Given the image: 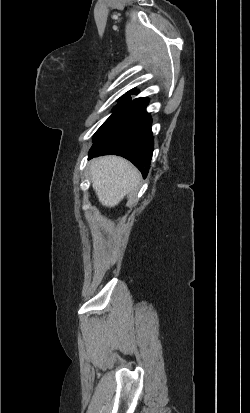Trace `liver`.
I'll return each instance as SVG.
<instances>
[{"label": "liver", "instance_id": "1", "mask_svg": "<svg viewBox=\"0 0 250 413\" xmlns=\"http://www.w3.org/2000/svg\"><path fill=\"white\" fill-rule=\"evenodd\" d=\"M92 187L99 202L114 207L138 184L139 171L126 159L104 156L91 161Z\"/></svg>", "mask_w": 250, "mask_h": 413}]
</instances>
